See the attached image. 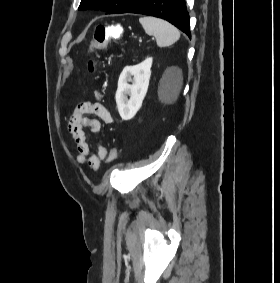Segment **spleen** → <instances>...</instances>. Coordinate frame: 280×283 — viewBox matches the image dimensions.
Returning <instances> with one entry per match:
<instances>
[{"instance_id":"3e777b00","label":"spleen","mask_w":280,"mask_h":283,"mask_svg":"<svg viewBox=\"0 0 280 283\" xmlns=\"http://www.w3.org/2000/svg\"><path fill=\"white\" fill-rule=\"evenodd\" d=\"M139 22L148 35L156 38L159 47L170 46L180 38L179 30L165 20L155 17H141Z\"/></svg>"}]
</instances>
